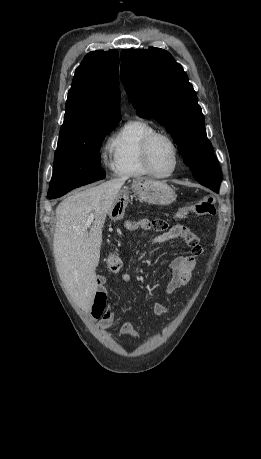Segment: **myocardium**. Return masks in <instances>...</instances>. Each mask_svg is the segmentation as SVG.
I'll use <instances>...</instances> for the list:
<instances>
[{"label": "myocardium", "mask_w": 261, "mask_h": 459, "mask_svg": "<svg viewBox=\"0 0 261 459\" xmlns=\"http://www.w3.org/2000/svg\"><path fill=\"white\" fill-rule=\"evenodd\" d=\"M159 138L167 140L169 142V144L171 145L172 149H173L174 166H173L172 170L169 171L168 173H158V172H156L153 169V166L151 164V149H152V146H153L154 142ZM142 160H143V163H144V165H145V167L148 170L150 175H152L154 177H157V178L170 177L177 171L179 163H180V154H179L178 145L175 142V140L169 134L164 133V132L156 131V132L150 134L149 136H147L146 139L143 142V145H142Z\"/></svg>", "instance_id": "myocardium-1"}]
</instances>
